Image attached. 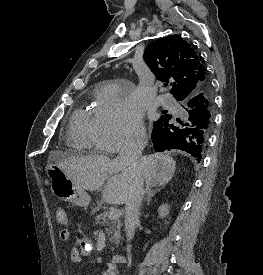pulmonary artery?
<instances>
[{
	"mask_svg": "<svg viewBox=\"0 0 263 275\" xmlns=\"http://www.w3.org/2000/svg\"><path fill=\"white\" fill-rule=\"evenodd\" d=\"M161 104L165 107H168V108H176L177 107L174 100L171 99L170 97H167V96L164 97L163 99H161Z\"/></svg>",
	"mask_w": 263,
	"mask_h": 275,
	"instance_id": "e3ab8cb5",
	"label": "pulmonary artery"
}]
</instances>
